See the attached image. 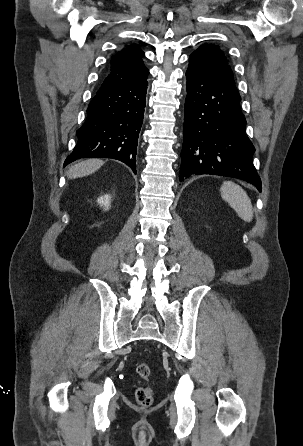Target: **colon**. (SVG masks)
I'll use <instances>...</instances> for the list:
<instances>
[{
  "mask_svg": "<svg viewBox=\"0 0 303 446\" xmlns=\"http://www.w3.org/2000/svg\"><path fill=\"white\" fill-rule=\"evenodd\" d=\"M136 372L145 381L151 379V369L147 363H140L136 368ZM153 397V390L149 386H141L136 390V401L142 407H150L153 403Z\"/></svg>",
  "mask_w": 303,
  "mask_h": 446,
  "instance_id": "obj_1",
  "label": "colon"
}]
</instances>
